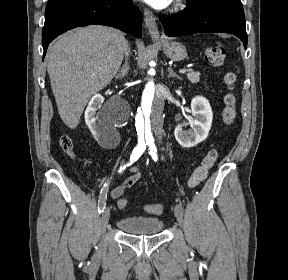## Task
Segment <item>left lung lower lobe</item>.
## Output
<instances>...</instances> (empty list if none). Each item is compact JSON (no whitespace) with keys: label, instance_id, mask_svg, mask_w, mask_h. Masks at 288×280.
I'll use <instances>...</instances> for the list:
<instances>
[{"label":"left lung lower lobe","instance_id":"1","mask_svg":"<svg viewBox=\"0 0 288 280\" xmlns=\"http://www.w3.org/2000/svg\"><path fill=\"white\" fill-rule=\"evenodd\" d=\"M165 34L171 37L185 36L199 32H224L237 36L247 48L245 18L235 13L202 2L187 5L176 14L159 15Z\"/></svg>","mask_w":288,"mask_h":280}]
</instances>
